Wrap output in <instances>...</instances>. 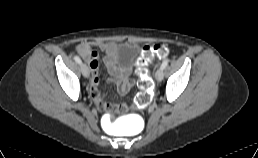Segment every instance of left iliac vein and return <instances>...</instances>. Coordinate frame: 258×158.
Here are the masks:
<instances>
[{
  "label": "left iliac vein",
  "instance_id": "1",
  "mask_svg": "<svg viewBox=\"0 0 258 158\" xmlns=\"http://www.w3.org/2000/svg\"><path fill=\"white\" fill-rule=\"evenodd\" d=\"M163 77H164V70L160 67L155 73V78L157 81L160 82L162 81Z\"/></svg>",
  "mask_w": 258,
  "mask_h": 158
}]
</instances>
